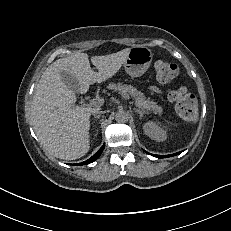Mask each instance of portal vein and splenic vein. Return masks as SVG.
<instances>
[{
  "instance_id": "18ae733b",
  "label": "portal vein and splenic vein",
  "mask_w": 231,
  "mask_h": 231,
  "mask_svg": "<svg viewBox=\"0 0 231 231\" xmlns=\"http://www.w3.org/2000/svg\"><path fill=\"white\" fill-rule=\"evenodd\" d=\"M121 95H122L123 98H125V99H127V100L130 99L129 95L126 94V93H121ZM103 103H104V99L101 98V97H96V98H93V99L90 100V104H91L92 106H100V105H102Z\"/></svg>"
}]
</instances>
